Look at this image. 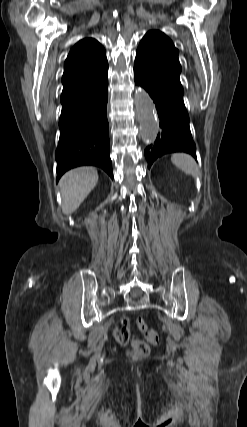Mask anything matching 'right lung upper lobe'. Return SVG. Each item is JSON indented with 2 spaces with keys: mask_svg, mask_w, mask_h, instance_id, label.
I'll return each instance as SVG.
<instances>
[{
  "mask_svg": "<svg viewBox=\"0 0 247 427\" xmlns=\"http://www.w3.org/2000/svg\"><path fill=\"white\" fill-rule=\"evenodd\" d=\"M108 70L106 51L93 38L80 40L69 52L62 77L63 91L94 80Z\"/></svg>",
  "mask_w": 247,
  "mask_h": 427,
  "instance_id": "1",
  "label": "right lung upper lobe"
}]
</instances>
